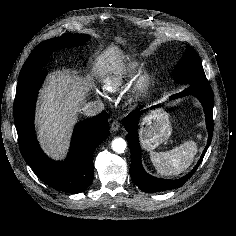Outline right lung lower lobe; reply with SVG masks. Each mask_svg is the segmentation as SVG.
Wrapping results in <instances>:
<instances>
[{
  "label": "right lung lower lobe",
  "instance_id": "obj_1",
  "mask_svg": "<svg viewBox=\"0 0 236 236\" xmlns=\"http://www.w3.org/2000/svg\"><path fill=\"white\" fill-rule=\"evenodd\" d=\"M46 72L38 70L19 78L14 101V122L22 156L41 180L67 193L83 192L93 180V153L109 135L107 113L79 122L67 159L54 162L39 147L34 131L36 97Z\"/></svg>",
  "mask_w": 236,
  "mask_h": 236
}]
</instances>
